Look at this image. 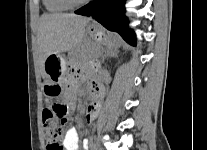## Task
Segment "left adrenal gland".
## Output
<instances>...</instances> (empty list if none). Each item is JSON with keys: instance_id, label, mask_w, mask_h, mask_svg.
Wrapping results in <instances>:
<instances>
[{"instance_id": "left-adrenal-gland-1", "label": "left adrenal gland", "mask_w": 207, "mask_h": 150, "mask_svg": "<svg viewBox=\"0 0 207 150\" xmlns=\"http://www.w3.org/2000/svg\"><path fill=\"white\" fill-rule=\"evenodd\" d=\"M117 54H118V51L117 50H113V49H110V48L109 49H106V50H104V54L102 56L101 62L104 63L105 62V59L107 57L117 56Z\"/></svg>"}]
</instances>
